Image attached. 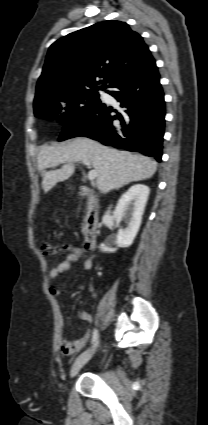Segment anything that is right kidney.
Returning <instances> with one entry per match:
<instances>
[{"label":"right kidney","instance_id":"ca27d5eb","mask_svg":"<svg viewBox=\"0 0 208 425\" xmlns=\"http://www.w3.org/2000/svg\"><path fill=\"white\" fill-rule=\"evenodd\" d=\"M150 189L143 184L133 185L119 199L114 211V218L119 223L123 218L127 219V227L120 229L115 244L125 248L132 245L141 225L142 215L148 200ZM103 252H115L116 248L102 245Z\"/></svg>","mask_w":208,"mask_h":425}]
</instances>
